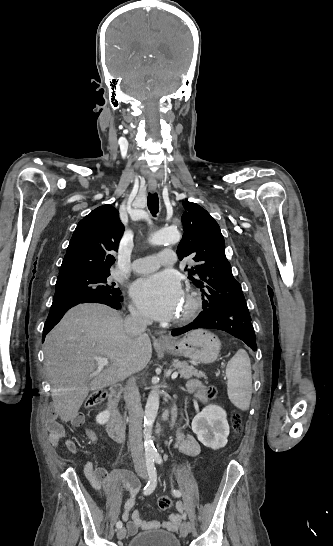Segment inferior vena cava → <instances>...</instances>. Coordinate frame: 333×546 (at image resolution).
Instances as JSON below:
<instances>
[{"instance_id":"1","label":"inferior vena cava","mask_w":333,"mask_h":546,"mask_svg":"<svg viewBox=\"0 0 333 546\" xmlns=\"http://www.w3.org/2000/svg\"><path fill=\"white\" fill-rule=\"evenodd\" d=\"M149 320L134 308L124 320V327L131 337L141 335L147 328ZM124 399L129 412V444L133 463L136 469L145 467V454L142 442L143 410L141 397L135 379H130L124 390Z\"/></svg>"}]
</instances>
